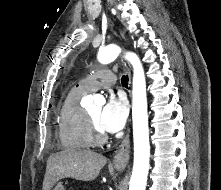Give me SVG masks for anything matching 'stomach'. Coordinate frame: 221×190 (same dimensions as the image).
Segmentation results:
<instances>
[{"label": "stomach", "mask_w": 221, "mask_h": 190, "mask_svg": "<svg viewBox=\"0 0 221 190\" xmlns=\"http://www.w3.org/2000/svg\"><path fill=\"white\" fill-rule=\"evenodd\" d=\"M53 190H65L64 186L62 185V183L57 184Z\"/></svg>", "instance_id": "obj_1"}]
</instances>
